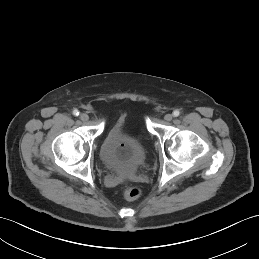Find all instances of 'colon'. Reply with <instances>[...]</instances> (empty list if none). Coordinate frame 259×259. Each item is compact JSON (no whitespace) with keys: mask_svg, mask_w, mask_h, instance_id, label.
Masks as SVG:
<instances>
[{"mask_svg":"<svg viewBox=\"0 0 259 259\" xmlns=\"http://www.w3.org/2000/svg\"><path fill=\"white\" fill-rule=\"evenodd\" d=\"M123 197L127 200H136L141 195V190L132 185H125L122 190Z\"/></svg>","mask_w":259,"mask_h":259,"instance_id":"5ec220e1","label":"colon"}]
</instances>
